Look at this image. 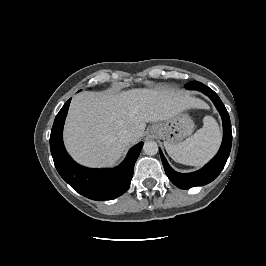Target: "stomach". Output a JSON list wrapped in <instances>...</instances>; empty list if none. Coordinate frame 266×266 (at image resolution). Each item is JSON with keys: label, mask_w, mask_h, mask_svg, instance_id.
Returning a JSON list of instances; mask_svg holds the SVG:
<instances>
[{"label": "stomach", "mask_w": 266, "mask_h": 266, "mask_svg": "<svg viewBox=\"0 0 266 266\" xmlns=\"http://www.w3.org/2000/svg\"><path fill=\"white\" fill-rule=\"evenodd\" d=\"M194 131V122L181 112L163 122L152 125L149 132L170 144H178Z\"/></svg>", "instance_id": "stomach-1"}]
</instances>
